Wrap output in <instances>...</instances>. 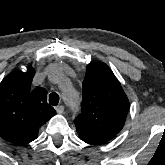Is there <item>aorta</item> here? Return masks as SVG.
Instances as JSON below:
<instances>
[{
	"instance_id": "762f6f07",
	"label": "aorta",
	"mask_w": 165,
	"mask_h": 165,
	"mask_svg": "<svg viewBox=\"0 0 165 165\" xmlns=\"http://www.w3.org/2000/svg\"><path fill=\"white\" fill-rule=\"evenodd\" d=\"M49 76L51 80H57L59 82H63L66 80L63 70L59 67L54 68ZM65 97H66V101L70 104L72 110L78 111L79 106H80V97H79L78 92L70 88L66 92Z\"/></svg>"
}]
</instances>
